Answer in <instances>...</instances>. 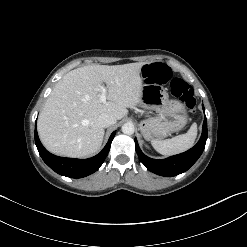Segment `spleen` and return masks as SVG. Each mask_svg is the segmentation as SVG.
I'll list each match as a JSON object with an SVG mask.
<instances>
[{
	"instance_id": "spleen-1",
	"label": "spleen",
	"mask_w": 247,
	"mask_h": 247,
	"mask_svg": "<svg viewBox=\"0 0 247 247\" xmlns=\"http://www.w3.org/2000/svg\"><path fill=\"white\" fill-rule=\"evenodd\" d=\"M196 136L197 125L194 123L185 134L178 135L168 140H152L151 144L160 154L170 156L190 149L194 145Z\"/></svg>"
}]
</instances>
